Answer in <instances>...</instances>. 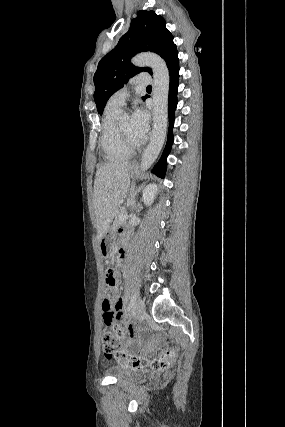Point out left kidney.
Instances as JSON below:
<instances>
[{"label": "left kidney", "instance_id": "1", "mask_svg": "<svg viewBox=\"0 0 285 427\" xmlns=\"http://www.w3.org/2000/svg\"><path fill=\"white\" fill-rule=\"evenodd\" d=\"M157 193V186L156 184H149L146 186V188L143 190L142 200L145 205H151L154 201L155 195Z\"/></svg>", "mask_w": 285, "mask_h": 427}]
</instances>
